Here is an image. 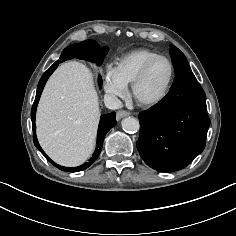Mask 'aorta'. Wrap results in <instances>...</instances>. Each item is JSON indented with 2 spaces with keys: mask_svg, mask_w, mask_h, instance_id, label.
I'll list each match as a JSON object with an SVG mask.
<instances>
[{
  "mask_svg": "<svg viewBox=\"0 0 236 236\" xmlns=\"http://www.w3.org/2000/svg\"><path fill=\"white\" fill-rule=\"evenodd\" d=\"M122 128L125 132L135 133L139 130L140 124L136 118L127 117L121 122Z\"/></svg>",
  "mask_w": 236,
  "mask_h": 236,
  "instance_id": "aorta-1",
  "label": "aorta"
}]
</instances>
